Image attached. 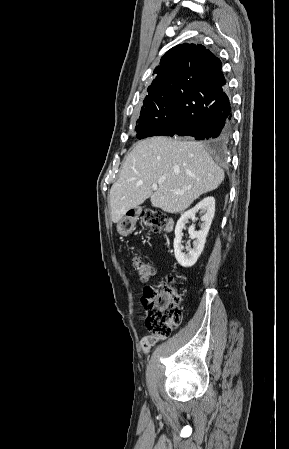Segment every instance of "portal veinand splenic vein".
<instances>
[{"label":"portal vein and splenic vein","mask_w":289,"mask_h":449,"mask_svg":"<svg viewBox=\"0 0 289 449\" xmlns=\"http://www.w3.org/2000/svg\"><path fill=\"white\" fill-rule=\"evenodd\" d=\"M158 188L157 184L152 185V189L155 191ZM174 194H182V192L175 191Z\"/></svg>","instance_id":"1"}]
</instances>
